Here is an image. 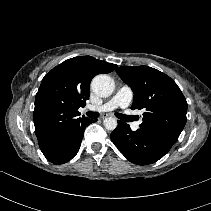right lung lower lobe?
Here are the masks:
<instances>
[{
	"mask_svg": "<svg viewBox=\"0 0 211 211\" xmlns=\"http://www.w3.org/2000/svg\"><path fill=\"white\" fill-rule=\"evenodd\" d=\"M92 122L95 121L84 119L41 145L40 149L46 159L54 164H63L74 158L80 148L85 127Z\"/></svg>",
	"mask_w": 211,
	"mask_h": 211,
	"instance_id": "98d812e1",
	"label": "right lung lower lobe"
}]
</instances>
